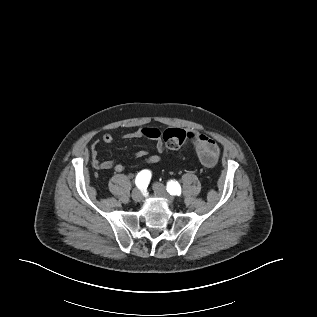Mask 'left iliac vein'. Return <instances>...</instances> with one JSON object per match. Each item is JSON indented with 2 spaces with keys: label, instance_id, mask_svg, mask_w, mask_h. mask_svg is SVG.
<instances>
[{
  "label": "left iliac vein",
  "instance_id": "1",
  "mask_svg": "<svg viewBox=\"0 0 317 317\" xmlns=\"http://www.w3.org/2000/svg\"><path fill=\"white\" fill-rule=\"evenodd\" d=\"M153 190L157 195L164 197L168 201V203H172L174 201V198L168 194L163 184L158 182L154 183Z\"/></svg>",
  "mask_w": 317,
  "mask_h": 317
}]
</instances>
